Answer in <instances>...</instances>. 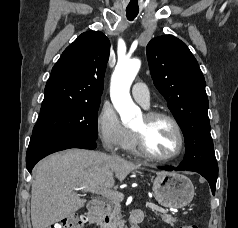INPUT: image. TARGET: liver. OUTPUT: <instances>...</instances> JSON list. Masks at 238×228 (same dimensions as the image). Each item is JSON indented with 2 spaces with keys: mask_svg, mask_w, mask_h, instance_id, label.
I'll use <instances>...</instances> for the list:
<instances>
[{
  "mask_svg": "<svg viewBox=\"0 0 238 228\" xmlns=\"http://www.w3.org/2000/svg\"><path fill=\"white\" fill-rule=\"evenodd\" d=\"M141 165L99 151L69 149L40 161L31 185L33 228H48L82 208L86 200L77 188L110 189L115 178L123 181Z\"/></svg>",
  "mask_w": 238,
  "mask_h": 228,
  "instance_id": "6515ba94",
  "label": "liver"
}]
</instances>
